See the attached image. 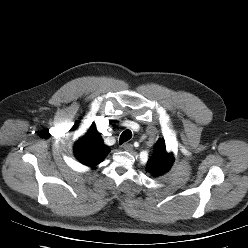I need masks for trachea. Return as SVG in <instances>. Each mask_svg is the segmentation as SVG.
<instances>
[{
    "label": "trachea",
    "instance_id": "1",
    "mask_svg": "<svg viewBox=\"0 0 248 248\" xmlns=\"http://www.w3.org/2000/svg\"><path fill=\"white\" fill-rule=\"evenodd\" d=\"M132 137V132L130 130H125L119 139L120 145L123 144L124 142H127L130 138Z\"/></svg>",
    "mask_w": 248,
    "mask_h": 248
}]
</instances>
